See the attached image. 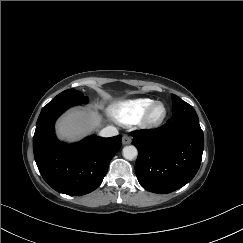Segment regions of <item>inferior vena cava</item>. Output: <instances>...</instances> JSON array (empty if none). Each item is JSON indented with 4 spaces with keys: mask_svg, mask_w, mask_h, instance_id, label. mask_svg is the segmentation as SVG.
<instances>
[{
    "mask_svg": "<svg viewBox=\"0 0 243 243\" xmlns=\"http://www.w3.org/2000/svg\"><path fill=\"white\" fill-rule=\"evenodd\" d=\"M99 135L102 137H113L118 135V130L114 126H107L99 132Z\"/></svg>",
    "mask_w": 243,
    "mask_h": 243,
    "instance_id": "602c4592",
    "label": "inferior vena cava"
}]
</instances>
